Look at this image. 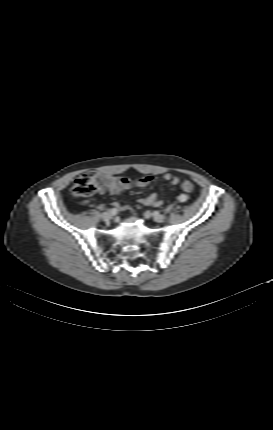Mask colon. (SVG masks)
I'll use <instances>...</instances> for the list:
<instances>
[{"label": "colon", "instance_id": "colon-1", "mask_svg": "<svg viewBox=\"0 0 273 430\" xmlns=\"http://www.w3.org/2000/svg\"><path fill=\"white\" fill-rule=\"evenodd\" d=\"M182 189L191 193L194 186L189 181L182 183ZM98 191V181L93 173H85L79 176L72 186V194L77 197H90Z\"/></svg>", "mask_w": 273, "mask_h": 430}]
</instances>
